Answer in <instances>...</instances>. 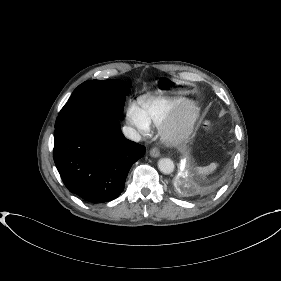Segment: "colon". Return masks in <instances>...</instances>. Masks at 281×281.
Listing matches in <instances>:
<instances>
[{
    "instance_id": "obj_1",
    "label": "colon",
    "mask_w": 281,
    "mask_h": 281,
    "mask_svg": "<svg viewBox=\"0 0 281 281\" xmlns=\"http://www.w3.org/2000/svg\"><path fill=\"white\" fill-rule=\"evenodd\" d=\"M206 126L209 127V126H210V123H206Z\"/></svg>"
}]
</instances>
